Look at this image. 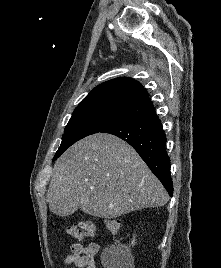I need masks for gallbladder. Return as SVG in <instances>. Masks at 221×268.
Here are the masks:
<instances>
[{
    "label": "gallbladder",
    "mask_w": 221,
    "mask_h": 268,
    "mask_svg": "<svg viewBox=\"0 0 221 268\" xmlns=\"http://www.w3.org/2000/svg\"><path fill=\"white\" fill-rule=\"evenodd\" d=\"M77 199H54L51 202V213H56L57 217H70L75 210H80Z\"/></svg>",
    "instance_id": "obj_1"
}]
</instances>
